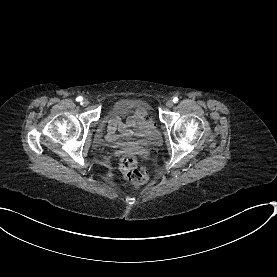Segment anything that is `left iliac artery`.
Wrapping results in <instances>:
<instances>
[{
	"label": "left iliac artery",
	"instance_id": "left-iliac-artery-1",
	"mask_svg": "<svg viewBox=\"0 0 277 277\" xmlns=\"http://www.w3.org/2000/svg\"><path fill=\"white\" fill-rule=\"evenodd\" d=\"M173 102H174V103H177V102H178V98H177V97H174V98H173Z\"/></svg>",
	"mask_w": 277,
	"mask_h": 277
}]
</instances>
